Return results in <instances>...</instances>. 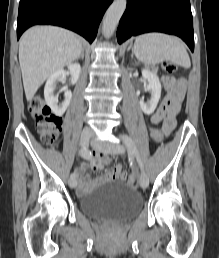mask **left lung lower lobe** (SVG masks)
Instances as JSON below:
<instances>
[{"label":"left lung lower lobe","instance_id":"1","mask_svg":"<svg viewBox=\"0 0 219 258\" xmlns=\"http://www.w3.org/2000/svg\"><path fill=\"white\" fill-rule=\"evenodd\" d=\"M147 32H163L182 38L194 51V32L189 0H127L117 29V41Z\"/></svg>","mask_w":219,"mask_h":258}]
</instances>
